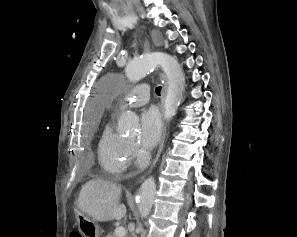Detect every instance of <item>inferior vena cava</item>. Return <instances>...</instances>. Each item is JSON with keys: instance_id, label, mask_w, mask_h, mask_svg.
<instances>
[{"instance_id": "1", "label": "inferior vena cava", "mask_w": 297, "mask_h": 237, "mask_svg": "<svg viewBox=\"0 0 297 237\" xmlns=\"http://www.w3.org/2000/svg\"><path fill=\"white\" fill-rule=\"evenodd\" d=\"M131 237H137L136 233L135 232H132L131 233Z\"/></svg>"}]
</instances>
